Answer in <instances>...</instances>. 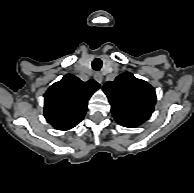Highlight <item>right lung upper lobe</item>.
Masks as SVG:
<instances>
[{"mask_svg":"<svg viewBox=\"0 0 194 193\" xmlns=\"http://www.w3.org/2000/svg\"><path fill=\"white\" fill-rule=\"evenodd\" d=\"M99 87L94 80L82 82L66 74L45 93L44 117L55 129H72L83 119L87 101Z\"/></svg>","mask_w":194,"mask_h":193,"instance_id":"cb5924a9","label":"right lung upper lobe"}]
</instances>
